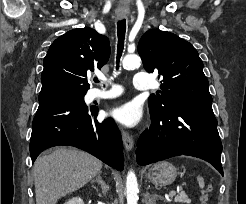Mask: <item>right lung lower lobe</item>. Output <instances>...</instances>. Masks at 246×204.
I'll return each instance as SVG.
<instances>
[{
  "label": "right lung lower lobe",
  "instance_id": "obj_1",
  "mask_svg": "<svg viewBox=\"0 0 246 204\" xmlns=\"http://www.w3.org/2000/svg\"><path fill=\"white\" fill-rule=\"evenodd\" d=\"M97 112V108H88L84 97L79 95L63 94L39 100L32 123V162L47 148L69 145L89 152L119 171L123 170L120 132L111 119L98 122L95 119Z\"/></svg>",
  "mask_w": 246,
  "mask_h": 204
}]
</instances>
